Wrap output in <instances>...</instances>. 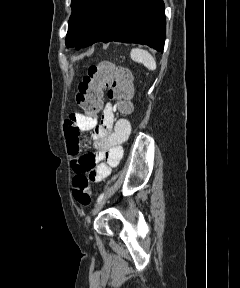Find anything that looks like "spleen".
Masks as SVG:
<instances>
[{
  "label": "spleen",
  "mask_w": 240,
  "mask_h": 288,
  "mask_svg": "<svg viewBox=\"0 0 240 288\" xmlns=\"http://www.w3.org/2000/svg\"><path fill=\"white\" fill-rule=\"evenodd\" d=\"M130 55L132 60L142 63L149 70L156 69V62L153 56L146 50L140 48L131 49Z\"/></svg>",
  "instance_id": "spleen-1"
}]
</instances>
